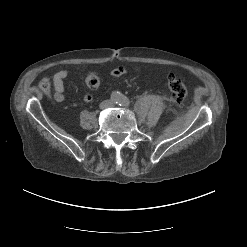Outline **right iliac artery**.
Returning <instances> with one entry per match:
<instances>
[{"label":"right iliac artery","instance_id":"1","mask_svg":"<svg viewBox=\"0 0 247 247\" xmlns=\"http://www.w3.org/2000/svg\"><path fill=\"white\" fill-rule=\"evenodd\" d=\"M115 101H116V103H118L117 101H118V99H115Z\"/></svg>","mask_w":247,"mask_h":247}]
</instances>
